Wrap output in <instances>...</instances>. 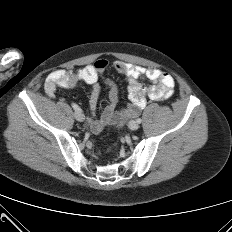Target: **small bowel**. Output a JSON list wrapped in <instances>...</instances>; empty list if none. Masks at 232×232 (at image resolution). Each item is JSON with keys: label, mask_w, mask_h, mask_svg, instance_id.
I'll use <instances>...</instances> for the list:
<instances>
[{"label": "small bowel", "mask_w": 232, "mask_h": 232, "mask_svg": "<svg viewBox=\"0 0 232 232\" xmlns=\"http://www.w3.org/2000/svg\"><path fill=\"white\" fill-rule=\"evenodd\" d=\"M108 70H114L123 77L128 91L129 105L121 110H116L119 101V91L117 85L105 79L104 83L109 88L110 104L104 109L100 117H95L99 95L100 81ZM145 78L152 82L151 85L144 87L139 79ZM80 82L91 86L89 96V108L91 116L88 124L93 133H99L107 125H116L119 114H128V110H133L135 117L138 112L145 107L147 99L163 101L169 99L174 94L175 80L172 75L157 68H148L140 65H134L118 60L109 61L107 59H98L86 67L75 70H55L52 71L45 80V91L50 97H54L59 87L66 89L75 88ZM129 118V119H130Z\"/></svg>", "instance_id": "small-bowel-1"}]
</instances>
